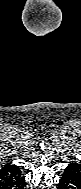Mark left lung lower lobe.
<instances>
[{"mask_svg":"<svg viewBox=\"0 0 81 189\" xmlns=\"http://www.w3.org/2000/svg\"><path fill=\"white\" fill-rule=\"evenodd\" d=\"M58 189H81V165L79 163L72 162L66 167Z\"/></svg>","mask_w":81,"mask_h":189,"instance_id":"obj_1","label":"left lung lower lobe"}]
</instances>
